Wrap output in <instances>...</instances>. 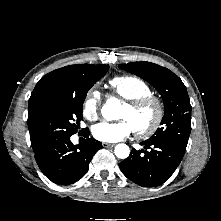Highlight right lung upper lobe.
<instances>
[{
	"instance_id": "right-lung-upper-lobe-1",
	"label": "right lung upper lobe",
	"mask_w": 221,
	"mask_h": 221,
	"mask_svg": "<svg viewBox=\"0 0 221 221\" xmlns=\"http://www.w3.org/2000/svg\"><path fill=\"white\" fill-rule=\"evenodd\" d=\"M102 65L79 64L54 70L36 84L29 99L28 121H30L40 105L60 90L76 82L86 73L99 69Z\"/></svg>"
}]
</instances>
